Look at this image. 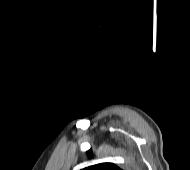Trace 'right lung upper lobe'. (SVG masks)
Here are the masks:
<instances>
[{
  "label": "right lung upper lobe",
  "mask_w": 190,
  "mask_h": 170,
  "mask_svg": "<svg viewBox=\"0 0 190 170\" xmlns=\"http://www.w3.org/2000/svg\"><path fill=\"white\" fill-rule=\"evenodd\" d=\"M83 170H122V169L113 163H100L90 167H86Z\"/></svg>",
  "instance_id": "cb5924a9"
}]
</instances>
